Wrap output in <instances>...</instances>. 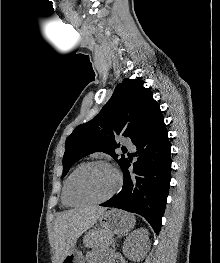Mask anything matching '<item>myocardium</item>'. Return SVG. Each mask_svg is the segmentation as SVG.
<instances>
[{"label":"myocardium","instance_id":"1","mask_svg":"<svg viewBox=\"0 0 220 263\" xmlns=\"http://www.w3.org/2000/svg\"><path fill=\"white\" fill-rule=\"evenodd\" d=\"M94 165H104L112 169V171L115 173V176H116V184L114 188L107 195L99 199L88 200V201L75 200L71 194V185H72V182L75 176L82 170L90 166H94ZM121 186H122V176L120 172L114 166H112L109 162L104 161V160H93V161H89V162L81 164L71 173V175L68 178L67 185H66V199L72 206L101 204L111 199L120 190Z\"/></svg>","mask_w":220,"mask_h":263}]
</instances>
